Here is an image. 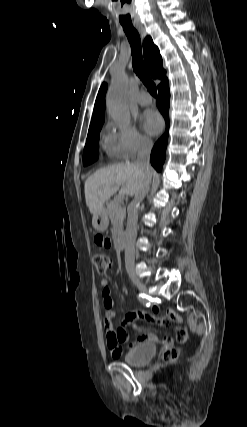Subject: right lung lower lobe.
I'll return each mask as SVG.
<instances>
[{
    "label": "right lung lower lobe",
    "instance_id": "obj_1",
    "mask_svg": "<svg viewBox=\"0 0 247 427\" xmlns=\"http://www.w3.org/2000/svg\"><path fill=\"white\" fill-rule=\"evenodd\" d=\"M159 99L156 104L162 113L165 122L166 130L164 135L156 142L154 148L151 152L150 161L152 166L160 171L165 160V150L167 146L168 130H169V100H170V91L168 80L163 81L159 86Z\"/></svg>",
    "mask_w": 247,
    "mask_h": 427
}]
</instances>
